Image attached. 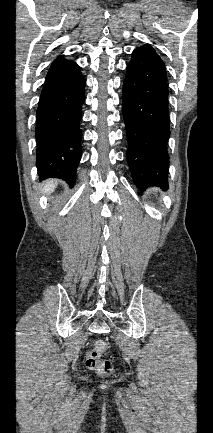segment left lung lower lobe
<instances>
[{"mask_svg": "<svg viewBox=\"0 0 213 433\" xmlns=\"http://www.w3.org/2000/svg\"><path fill=\"white\" fill-rule=\"evenodd\" d=\"M127 161L138 187L168 188L170 134L165 65L151 47L132 53L122 94Z\"/></svg>", "mask_w": 213, "mask_h": 433, "instance_id": "1", "label": "left lung lower lobe"}]
</instances>
